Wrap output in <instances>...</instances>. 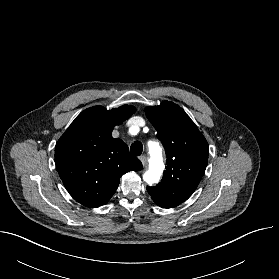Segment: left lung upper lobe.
<instances>
[{"instance_id": "obj_1", "label": "left lung upper lobe", "mask_w": 279, "mask_h": 279, "mask_svg": "<svg viewBox=\"0 0 279 279\" xmlns=\"http://www.w3.org/2000/svg\"><path fill=\"white\" fill-rule=\"evenodd\" d=\"M166 152L161 182L147 187L154 202L179 205L197 188L208 162V143L185 111L170 101L146 108Z\"/></svg>"}]
</instances>
